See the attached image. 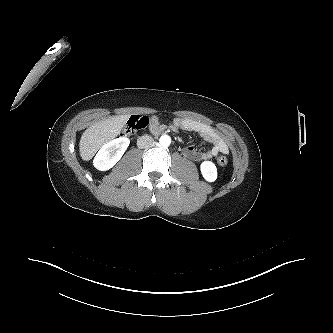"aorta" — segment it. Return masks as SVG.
I'll return each mask as SVG.
<instances>
[{
	"instance_id": "762f6f07",
	"label": "aorta",
	"mask_w": 333,
	"mask_h": 333,
	"mask_svg": "<svg viewBox=\"0 0 333 333\" xmlns=\"http://www.w3.org/2000/svg\"><path fill=\"white\" fill-rule=\"evenodd\" d=\"M159 143L164 147H168L171 143V138L168 135H162L159 139Z\"/></svg>"
}]
</instances>
